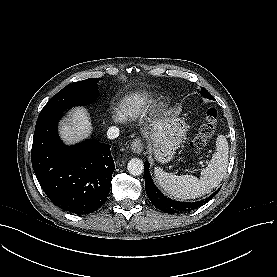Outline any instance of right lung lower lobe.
Masks as SVG:
<instances>
[{"label":"right lung lower lobe","instance_id":"obj_1","mask_svg":"<svg viewBox=\"0 0 277 277\" xmlns=\"http://www.w3.org/2000/svg\"><path fill=\"white\" fill-rule=\"evenodd\" d=\"M62 112L38 117L31 160L49 199L77 215L96 211L106 201L115 165L110 145L86 140L65 146L57 133Z\"/></svg>","mask_w":277,"mask_h":277}]
</instances>
